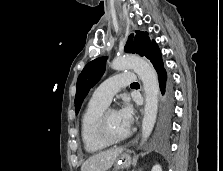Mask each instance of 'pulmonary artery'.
I'll return each instance as SVG.
<instances>
[{"mask_svg":"<svg viewBox=\"0 0 223 171\" xmlns=\"http://www.w3.org/2000/svg\"><path fill=\"white\" fill-rule=\"evenodd\" d=\"M135 80L136 76L132 72H124L110 77L95 89L92 99L108 105L121 88L132 84Z\"/></svg>","mask_w":223,"mask_h":171,"instance_id":"1","label":"pulmonary artery"}]
</instances>
